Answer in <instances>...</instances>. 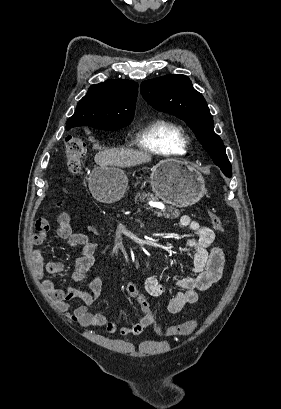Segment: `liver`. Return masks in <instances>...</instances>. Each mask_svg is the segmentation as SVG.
Returning <instances> with one entry per match:
<instances>
[{
  "label": "liver",
  "mask_w": 281,
  "mask_h": 409,
  "mask_svg": "<svg viewBox=\"0 0 281 409\" xmlns=\"http://www.w3.org/2000/svg\"><path fill=\"white\" fill-rule=\"evenodd\" d=\"M96 164L99 166H136L151 160L150 154L144 150H130V148H111V150H102L94 156Z\"/></svg>",
  "instance_id": "liver-1"
}]
</instances>
